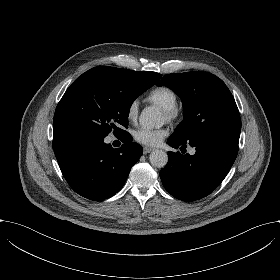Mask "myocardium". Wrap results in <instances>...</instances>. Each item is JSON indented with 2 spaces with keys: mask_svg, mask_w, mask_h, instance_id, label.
Instances as JSON below:
<instances>
[{
  "mask_svg": "<svg viewBox=\"0 0 280 280\" xmlns=\"http://www.w3.org/2000/svg\"><path fill=\"white\" fill-rule=\"evenodd\" d=\"M164 114L168 121H175L180 116V112L176 107L164 109Z\"/></svg>",
  "mask_w": 280,
  "mask_h": 280,
  "instance_id": "obj_1",
  "label": "myocardium"
}]
</instances>
